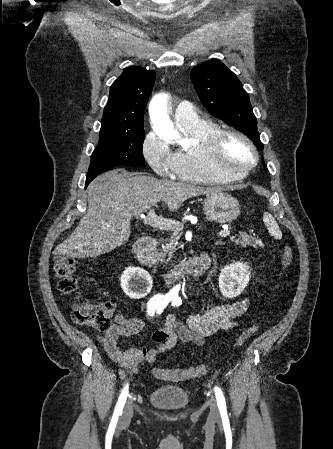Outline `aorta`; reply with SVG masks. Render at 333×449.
Wrapping results in <instances>:
<instances>
[{
  "label": "aorta",
  "mask_w": 333,
  "mask_h": 449,
  "mask_svg": "<svg viewBox=\"0 0 333 449\" xmlns=\"http://www.w3.org/2000/svg\"><path fill=\"white\" fill-rule=\"evenodd\" d=\"M149 113L154 125L155 132L162 138L166 139H178L179 133L170 123L167 114V95L159 94L152 100ZM181 292L178 286L173 290L174 294H179Z\"/></svg>",
  "instance_id": "762f6f07"
}]
</instances>
